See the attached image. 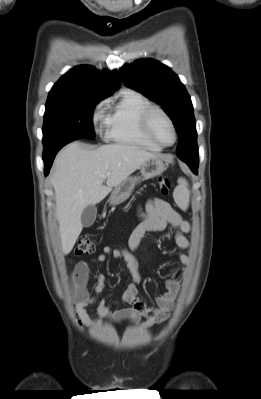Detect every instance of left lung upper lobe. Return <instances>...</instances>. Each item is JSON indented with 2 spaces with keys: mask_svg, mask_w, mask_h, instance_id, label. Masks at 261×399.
<instances>
[{
  "mask_svg": "<svg viewBox=\"0 0 261 399\" xmlns=\"http://www.w3.org/2000/svg\"><path fill=\"white\" fill-rule=\"evenodd\" d=\"M127 87L161 105L179 137L177 157L198 160L196 123L189 94L169 67L153 59H139L120 69Z\"/></svg>",
  "mask_w": 261,
  "mask_h": 399,
  "instance_id": "5c2ea615",
  "label": "left lung upper lobe"
}]
</instances>
